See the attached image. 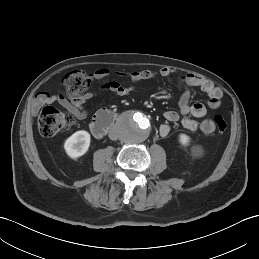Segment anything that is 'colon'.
Masks as SVG:
<instances>
[{
  "label": "colon",
  "instance_id": "1",
  "mask_svg": "<svg viewBox=\"0 0 259 259\" xmlns=\"http://www.w3.org/2000/svg\"><path fill=\"white\" fill-rule=\"evenodd\" d=\"M63 84L66 95L75 99L84 94L88 88L90 76L82 70L73 71L64 77ZM71 122L72 117L69 113L53 106H46L40 113L38 128L42 136L51 137L69 126ZM213 122L218 133L222 134L227 130L228 125L223 116L215 115Z\"/></svg>",
  "mask_w": 259,
  "mask_h": 259
}]
</instances>
